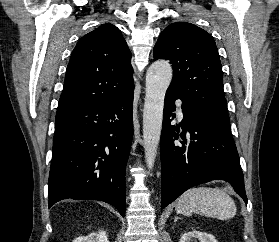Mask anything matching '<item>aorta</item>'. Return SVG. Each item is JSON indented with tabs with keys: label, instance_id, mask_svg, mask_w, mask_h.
<instances>
[{
	"label": "aorta",
	"instance_id": "aorta-1",
	"mask_svg": "<svg viewBox=\"0 0 279 242\" xmlns=\"http://www.w3.org/2000/svg\"><path fill=\"white\" fill-rule=\"evenodd\" d=\"M172 67L168 61L158 60L146 73V96L143 110V142L147 167L154 166L160 142L164 98L172 80Z\"/></svg>",
	"mask_w": 279,
	"mask_h": 242
}]
</instances>
